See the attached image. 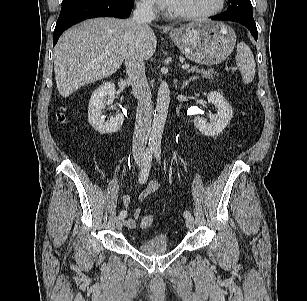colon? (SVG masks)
<instances>
[{
    "mask_svg": "<svg viewBox=\"0 0 307 301\" xmlns=\"http://www.w3.org/2000/svg\"><path fill=\"white\" fill-rule=\"evenodd\" d=\"M153 221H154V219H153L152 215H146L141 220V227L142 228H149L153 224Z\"/></svg>",
    "mask_w": 307,
    "mask_h": 301,
    "instance_id": "obj_1",
    "label": "colon"
}]
</instances>
